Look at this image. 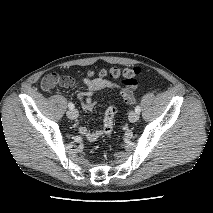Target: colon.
<instances>
[{"instance_id": "5ec220e1", "label": "colon", "mask_w": 213, "mask_h": 213, "mask_svg": "<svg viewBox=\"0 0 213 213\" xmlns=\"http://www.w3.org/2000/svg\"><path fill=\"white\" fill-rule=\"evenodd\" d=\"M140 73L139 68L133 69H120V68H111L108 72H104L105 75H108L114 79H120L125 88L122 91V96L129 98L136 85V77ZM58 80L61 82H70L72 78L67 76H60ZM114 117H115V108L109 106L105 109L103 115V134L110 137L113 132L114 127Z\"/></svg>"}]
</instances>
